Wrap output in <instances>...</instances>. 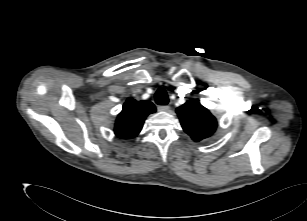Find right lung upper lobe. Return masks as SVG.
Here are the masks:
<instances>
[{"label": "right lung upper lobe", "mask_w": 307, "mask_h": 221, "mask_svg": "<svg viewBox=\"0 0 307 221\" xmlns=\"http://www.w3.org/2000/svg\"><path fill=\"white\" fill-rule=\"evenodd\" d=\"M156 111L150 101L127 99L115 123V134L121 139L136 137L143 127L145 118Z\"/></svg>", "instance_id": "obj_1"}]
</instances>
